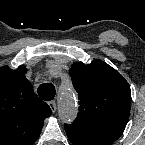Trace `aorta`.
I'll list each match as a JSON object with an SVG mask.
<instances>
[{
	"instance_id": "1",
	"label": "aorta",
	"mask_w": 145,
	"mask_h": 145,
	"mask_svg": "<svg viewBox=\"0 0 145 145\" xmlns=\"http://www.w3.org/2000/svg\"><path fill=\"white\" fill-rule=\"evenodd\" d=\"M59 116L62 122L71 123L77 116V108L73 96L63 91L59 99Z\"/></svg>"
}]
</instances>
